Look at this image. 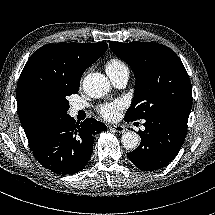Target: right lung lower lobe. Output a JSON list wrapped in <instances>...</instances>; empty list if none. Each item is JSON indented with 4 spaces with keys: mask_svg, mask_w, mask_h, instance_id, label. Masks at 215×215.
Wrapping results in <instances>:
<instances>
[{
    "mask_svg": "<svg viewBox=\"0 0 215 215\" xmlns=\"http://www.w3.org/2000/svg\"><path fill=\"white\" fill-rule=\"evenodd\" d=\"M106 129L94 118L79 124L68 115L52 125L31 150L46 169L62 175L74 174L90 160L93 136Z\"/></svg>",
    "mask_w": 215,
    "mask_h": 215,
    "instance_id": "1",
    "label": "right lung lower lobe"
}]
</instances>
